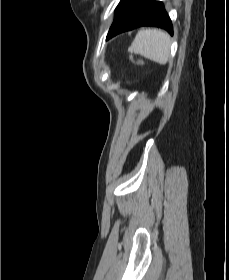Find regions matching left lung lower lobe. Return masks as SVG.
<instances>
[{
    "label": "left lung lower lobe",
    "mask_w": 229,
    "mask_h": 280,
    "mask_svg": "<svg viewBox=\"0 0 229 280\" xmlns=\"http://www.w3.org/2000/svg\"><path fill=\"white\" fill-rule=\"evenodd\" d=\"M141 26H156L173 35L171 20L162 2L154 0H129L124 10L111 26L106 40Z\"/></svg>",
    "instance_id": "left-lung-lower-lobe-1"
}]
</instances>
